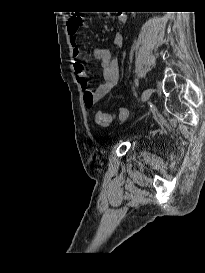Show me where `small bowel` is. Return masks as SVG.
Returning a JSON list of instances; mask_svg holds the SVG:
<instances>
[{"label": "small bowel", "instance_id": "small-bowel-1", "mask_svg": "<svg viewBox=\"0 0 205 273\" xmlns=\"http://www.w3.org/2000/svg\"><path fill=\"white\" fill-rule=\"evenodd\" d=\"M79 18L72 17L68 20V34L72 45V55L79 60L84 57L81 47L77 43L76 36L80 27L77 26ZM83 27H87L86 22H82ZM123 36L117 34L114 37L113 44L120 46L123 44ZM93 57L100 62L103 74V82L98 85L95 90H90L87 83V75L84 71V66L80 62L74 64V71L78 82L83 89V100L86 108H93L108 95L119 82V68L117 61L113 58L111 52L107 48L97 47L93 50Z\"/></svg>", "mask_w": 205, "mask_h": 273}]
</instances>
